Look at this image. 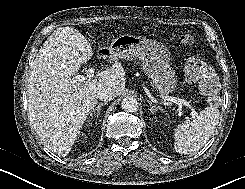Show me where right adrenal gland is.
I'll return each mask as SVG.
<instances>
[{
  "instance_id": "2a0ac1e0",
  "label": "right adrenal gland",
  "mask_w": 245,
  "mask_h": 189,
  "mask_svg": "<svg viewBox=\"0 0 245 189\" xmlns=\"http://www.w3.org/2000/svg\"><path fill=\"white\" fill-rule=\"evenodd\" d=\"M107 104V102H101V103H99L93 110H92V112L90 113V116L92 117V115L94 114V113H97V115H96V117H98L99 116V114H100V111H101V107L102 106H104V105H106Z\"/></svg>"
}]
</instances>
